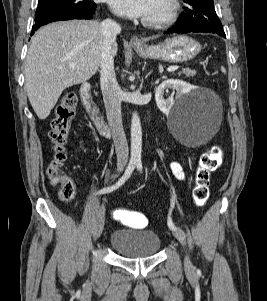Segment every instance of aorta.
<instances>
[{"label": "aorta", "instance_id": "762f6f07", "mask_svg": "<svg viewBox=\"0 0 267 301\" xmlns=\"http://www.w3.org/2000/svg\"><path fill=\"white\" fill-rule=\"evenodd\" d=\"M142 152V128L140 118L135 112L131 121V159L140 160Z\"/></svg>", "mask_w": 267, "mask_h": 301}]
</instances>
